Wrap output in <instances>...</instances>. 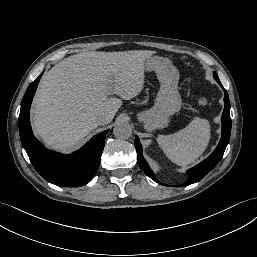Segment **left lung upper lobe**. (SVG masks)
I'll list each match as a JSON object with an SVG mask.
<instances>
[{
  "instance_id": "5c2ea615",
  "label": "left lung upper lobe",
  "mask_w": 257,
  "mask_h": 257,
  "mask_svg": "<svg viewBox=\"0 0 257 257\" xmlns=\"http://www.w3.org/2000/svg\"><path fill=\"white\" fill-rule=\"evenodd\" d=\"M214 78L216 79V81L219 83L220 82V80H219V78H218V76H217V74L214 72Z\"/></svg>"
}]
</instances>
